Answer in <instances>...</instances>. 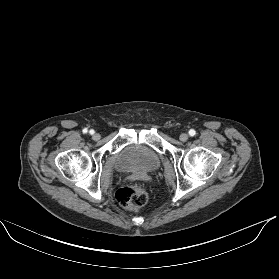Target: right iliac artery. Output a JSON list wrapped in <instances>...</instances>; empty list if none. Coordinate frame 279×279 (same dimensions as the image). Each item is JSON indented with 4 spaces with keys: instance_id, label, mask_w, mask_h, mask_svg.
Segmentation results:
<instances>
[{
    "instance_id": "right-iliac-artery-1",
    "label": "right iliac artery",
    "mask_w": 279,
    "mask_h": 279,
    "mask_svg": "<svg viewBox=\"0 0 279 279\" xmlns=\"http://www.w3.org/2000/svg\"><path fill=\"white\" fill-rule=\"evenodd\" d=\"M88 132V130H87V128H84L83 129V133H87ZM94 133V131L93 130H90V134H93Z\"/></svg>"
}]
</instances>
